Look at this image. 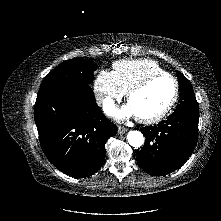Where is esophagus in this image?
<instances>
[{"mask_svg": "<svg viewBox=\"0 0 221 221\" xmlns=\"http://www.w3.org/2000/svg\"><path fill=\"white\" fill-rule=\"evenodd\" d=\"M128 131L127 128L123 127V126H118V133L119 134H124Z\"/></svg>", "mask_w": 221, "mask_h": 221, "instance_id": "1", "label": "esophagus"}]
</instances>
